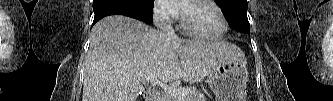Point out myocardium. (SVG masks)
Instances as JSON below:
<instances>
[{
  "mask_svg": "<svg viewBox=\"0 0 333 101\" xmlns=\"http://www.w3.org/2000/svg\"><path fill=\"white\" fill-rule=\"evenodd\" d=\"M197 3H207L209 5H211L219 14L220 19H221V29L218 33L216 34H204L201 33L197 30H195L191 23L190 20L188 18V14H187V7L193 4H197ZM180 13H181V22H182V27L183 29L190 35L195 36V37H199V38H204V39H217L220 38L221 36L224 35V33L227 30V19L226 16L223 12V10L214 2L211 0H191V1H182L180 4Z\"/></svg>",
  "mask_w": 333,
  "mask_h": 101,
  "instance_id": "1",
  "label": "myocardium"
}]
</instances>
